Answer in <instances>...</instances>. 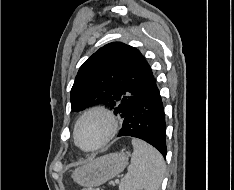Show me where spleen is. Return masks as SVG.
Here are the masks:
<instances>
[{
    "label": "spleen",
    "mask_w": 234,
    "mask_h": 190,
    "mask_svg": "<svg viewBox=\"0 0 234 190\" xmlns=\"http://www.w3.org/2000/svg\"><path fill=\"white\" fill-rule=\"evenodd\" d=\"M133 153L128 173L119 190H158L165 174V162L154 147L140 139H132Z\"/></svg>",
    "instance_id": "spleen-1"
}]
</instances>
